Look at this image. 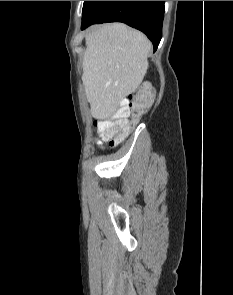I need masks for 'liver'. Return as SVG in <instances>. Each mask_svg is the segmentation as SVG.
I'll return each mask as SVG.
<instances>
[{
  "mask_svg": "<svg viewBox=\"0 0 233 295\" xmlns=\"http://www.w3.org/2000/svg\"><path fill=\"white\" fill-rule=\"evenodd\" d=\"M82 81L94 118L112 116L135 92L148 69L151 43L123 23L96 25L85 36Z\"/></svg>",
  "mask_w": 233,
  "mask_h": 295,
  "instance_id": "6515ba94",
  "label": "liver"
}]
</instances>
